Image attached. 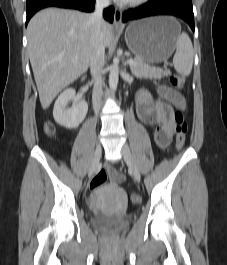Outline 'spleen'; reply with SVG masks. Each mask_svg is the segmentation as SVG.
I'll return each mask as SVG.
<instances>
[{
  "instance_id": "1",
  "label": "spleen",
  "mask_w": 227,
  "mask_h": 265,
  "mask_svg": "<svg viewBox=\"0 0 227 265\" xmlns=\"http://www.w3.org/2000/svg\"><path fill=\"white\" fill-rule=\"evenodd\" d=\"M193 46L187 33L183 32L176 41V53L173 58L175 70L182 76H188L193 66Z\"/></svg>"
}]
</instances>
